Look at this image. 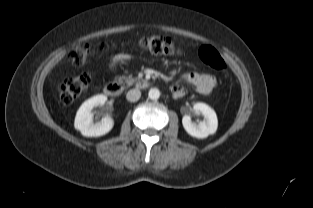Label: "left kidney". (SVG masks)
Masks as SVG:
<instances>
[{"label": "left kidney", "instance_id": "left-kidney-1", "mask_svg": "<svg viewBox=\"0 0 313 208\" xmlns=\"http://www.w3.org/2000/svg\"><path fill=\"white\" fill-rule=\"evenodd\" d=\"M193 110L204 116L203 121L198 124L191 121L190 115H184L182 124L186 132L196 138H206L210 134H214L217 130L218 120L215 111L205 103H195Z\"/></svg>", "mask_w": 313, "mask_h": 208}]
</instances>
